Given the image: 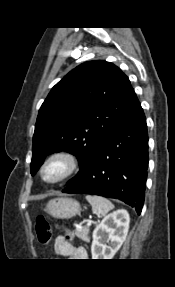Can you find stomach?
<instances>
[{
  "instance_id": "1",
  "label": "stomach",
  "mask_w": 175,
  "mask_h": 287,
  "mask_svg": "<svg viewBox=\"0 0 175 287\" xmlns=\"http://www.w3.org/2000/svg\"><path fill=\"white\" fill-rule=\"evenodd\" d=\"M80 204L78 201L60 197L52 199L48 202L45 211L54 218L69 219L76 216L80 212Z\"/></svg>"
}]
</instances>
